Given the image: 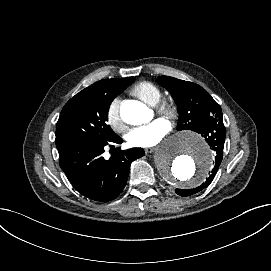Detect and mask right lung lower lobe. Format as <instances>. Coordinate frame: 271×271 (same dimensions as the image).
<instances>
[{
    "label": "right lung lower lobe",
    "mask_w": 271,
    "mask_h": 271,
    "mask_svg": "<svg viewBox=\"0 0 271 271\" xmlns=\"http://www.w3.org/2000/svg\"><path fill=\"white\" fill-rule=\"evenodd\" d=\"M122 142L118 135L107 140L79 139L68 142L57 147L60 167L84 197L99 202L114 200L126 185L132 161L145 154L141 148L117 149L108 160L102 157L106 145Z\"/></svg>",
    "instance_id": "right-lung-lower-lobe-1"
}]
</instances>
